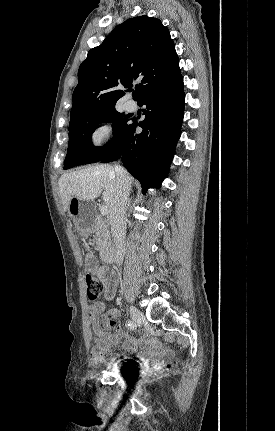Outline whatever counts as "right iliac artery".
<instances>
[{"label":"right iliac artery","mask_w":275,"mask_h":431,"mask_svg":"<svg viewBox=\"0 0 275 431\" xmlns=\"http://www.w3.org/2000/svg\"><path fill=\"white\" fill-rule=\"evenodd\" d=\"M128 327L130 329H134L136 327V325L132 321H130L129 324H128Z\"/></svg>","instance_id":"82829eb1"}]
</instances>
